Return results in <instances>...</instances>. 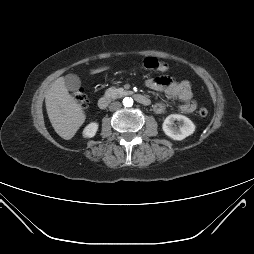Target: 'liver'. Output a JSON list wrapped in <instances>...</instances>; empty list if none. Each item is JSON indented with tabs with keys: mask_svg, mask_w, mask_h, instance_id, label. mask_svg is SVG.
<instances>
[{
	"mask_svg": "<svg viewBox=\"0 0 254 254\" xmlns=\"http://www.w3.org/2000/svg\"><path fill=\"white\" fill-rule=\"evenodd\" d=\"M107 69L108 67H101L92 70L91 73L96 74ZM45 104L56 133L63 139L70 140L84 123L86 116L81 106L69 94L63 77L51 85L45 96Z\"/></svg>",
	"mask_w": 254,
	"mask_h": 254,
	"instance_id": "6515ba94",
	"label": "liver"
}]
</instances>
